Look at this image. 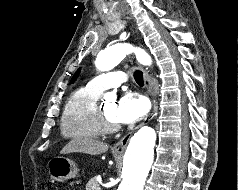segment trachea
Wrapping results in <instances>:
<instances>
[{"mask_svg":"<svg viewBox=\"0 0 238 190\" xmlns=\"http://www.w3.org/2000/svg\"><path fill=\"white\" fill-rule=\"evenodd\" d=\"M134 79H135V81L138 85L143 86L144 82H143V73H142V71L136 70L134 72Z\"/></svg>","mask_w":238,"mask_h":190,"instance_id":"3493384b","label":"trachea"}]
</instances>
